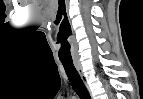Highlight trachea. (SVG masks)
<instances>
[{
  "instance_id": "1",
  "label": "trachea",
  "mask_w": 143,
  "mask_h": 99,
  "mask_svg": "<svg viewBox=\"0 0 143 99\" xmlns=\"http://www.w3.org/2000/svg\"><path fill=\"white\" fill-rule=\"evenodd\" d=\"M61 63L65 69L67 77L70 81L71 86L78 94L81 99H91L90 94L84 85L78 71L76 70L73 61L71 60H61Z\"/></svg>"
}]
</instances>
